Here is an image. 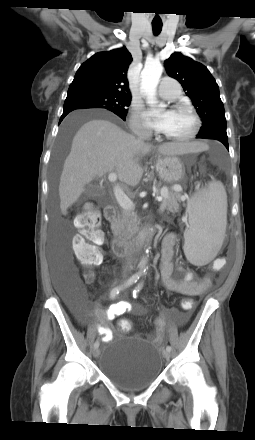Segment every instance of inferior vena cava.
Returning a JSON list of instances; mask_svg holds the SVG:
<instances>
[{
	"mask_svg": "<svg viewBox=\"0 0 255 440\" xmlns=\"http://www.w3.org/2000/svg\"><path fill=\"white\" fill-rule=\"evenodd\" d=\"M145 136H146L145 134L140 135V136H139L140 140L144 139ZM127 267H128V268H131V259H130V258H129L128 261H127Z\"/></svg>",
	"mask_w": 255,
	"mask_h": 440,
	"instance_id": "1",
	"label": "inferior vena cava"
}]
</instances>
